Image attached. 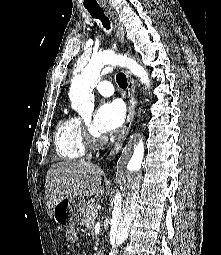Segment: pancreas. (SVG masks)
<instances>
[{
	"mask_svg": "<svg viewBox=\"0 0 221 255\" xmlns=\"http://www.w3.org/2000/svg\"><path fill=\"white\" fill-rule=\"evenodd\" d=\"M96 211L95 209V199H90L88 202L85 204V209L82 215L81 222L83 225L91 226L97 215L93 216V213Z\"/></svg>",
	"mask_w": 221,
	"mask_h": 255,
	"instance_id": "cf45deb5",
	"label": "pancreas"
}]
</instances>
